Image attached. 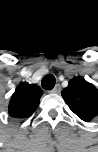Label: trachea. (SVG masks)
I'll use <instances>...</instances> for the list:
<instances>
[{
	"label": "trachea",
	"instance_id": "obj_1",
	"mask_svg": "<svg viewBox=\"0 0 98 152\" xmlns=\"http://www.w3.org/2000/svg\"><path fill=\"white\" fill-rule=\"evenodd\" d=\"M55 77L52 74H47L42 79V87L46 90H51L55 86Z\"/></svg>",
	"mask_w": 98,
	"mask_h": 152
}]
</instances>
